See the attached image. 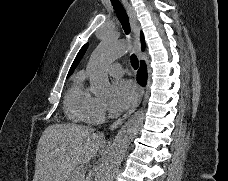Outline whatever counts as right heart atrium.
Wrapping results in <instances>:
<instances>
[{
    "mask_svg": "<svg viewBox=\"0 0 228 181\" xmlns=\"http://www.w3.org/2000/svg\"><path fill=\"white\" fill-rule=\"evenodd\" d=\"M106 113L107 105L104 99L101 97L92 98L88 108V122L98 124L105 118Z\"/></svg>",
    "mask_w": 228,
    "mask_h": 181,
    "instance_id": "right-heart-atrium-1",
    "label": "right heart atrium"
}]
</instances>
